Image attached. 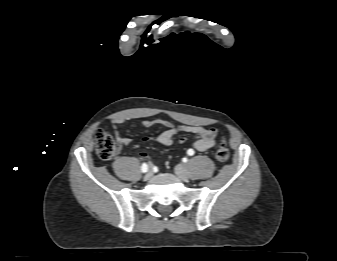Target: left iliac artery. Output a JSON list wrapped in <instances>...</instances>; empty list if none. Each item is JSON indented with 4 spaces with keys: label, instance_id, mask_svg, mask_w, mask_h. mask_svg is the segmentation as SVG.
Wrapping results in <instances>:
<instances>
[{
    "label": "left iliac artery",
    "instance_id": "left-iliac-artery-1",
    "mask_svg": "<svg viewBox=\"0 0 337 261\" xmlns=\"http://www.w3.org/2000/svg\"><path fill=\"white\" fill-rule=\"evenodd\" d=\"M187 153H188V155L192 156V155L194 154V151H193L192 149H189V150L187 151Z\"/></svg>",
    "mask_w": 337,
    "mask_h": 261
}]
</instances>
